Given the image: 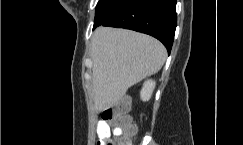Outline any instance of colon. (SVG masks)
<instances>
[{
  "instance_id": "5ec220e1",
  "label": "colon",
  "mask_w": 243,
  "mask_h": 145,
  "mask_svg": "<svg viewBox=\"0 0 243 145\" xmlns=\"http://www.w3.org/2000/svg\"><path fill=\"white\" fill-rule=\"evenodd\" d=\"M129 100L122 99L114 106L105 109L101 116L104 121L114 122L116 128L120 129L121 135L117 136L120 139L118 141H114L111 139H105L101 144L103 145H130L131 138L136 133V126L129 114Z\"/></svg>"
}]
</instances>
